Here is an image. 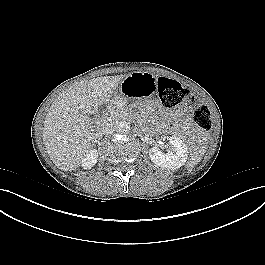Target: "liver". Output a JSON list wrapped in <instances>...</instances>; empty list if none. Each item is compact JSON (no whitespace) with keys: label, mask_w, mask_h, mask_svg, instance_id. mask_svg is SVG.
<instances>
[{"label":"liver","mask_w":265,"mask_h":265,"mask_svg":"<svg viewBox=\"0 0 265 265\" xmlns=\"http://www.w3.org/2000/svg\"><path fill=\"white\" fill-rule=\"evenodd\" d=\"M123 78L102 76L77 82L52 103L44 121L43 142L59 169L78 168L93 149L95 129L90 115L109 102Z\"/></svg>","instance_id":"6515ba94"}]
</instances>
